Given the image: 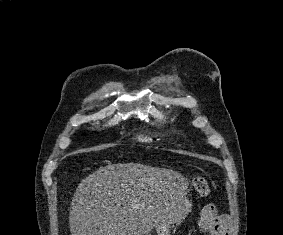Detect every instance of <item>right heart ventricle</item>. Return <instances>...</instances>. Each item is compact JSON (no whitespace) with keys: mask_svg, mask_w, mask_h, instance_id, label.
<instances>
[{"mask_svg":"<svg viewBox=\"0 0 283 235\" xmlns=\"http://www.w3.org/2000/svg\"><path fill=\"white\" fill-rule=\"evenodd\" d=\"M142 141L143 142H152V138H149V137H144V138H142Z\"/></svg>","mask_w":283,"mask_h":235,"instance_id":"right-heart-ventricle-1","label":"right heart ventricle"}]
</instances>
